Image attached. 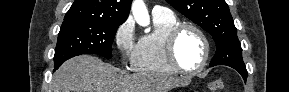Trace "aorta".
<instances>
[{
  "label": "aorta",
  "mask_w": 289,
  "mask_h": 92,
  "mask_svg": "<svg viewBox=\"0 0 289 92\" xmlns=\"http://www.w3.org/2000/svg\"><path fill=\"white\" fill-rule=\"evenodd\" d=\"M132 13L139 25L147 26L149 24V14L143 0H135L133 2Z\"/></svg>",
  "instance_id": "1"
}]
</instances>
